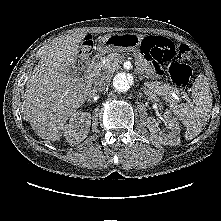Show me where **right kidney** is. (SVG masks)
<instances>
[{
  "label": "right kidney",
  "instance_id": "obj_1",
  "mask_svg": "<svg viewBox=\"0 0 221 221\" xmlns=\"http://www.w3.org/2000/svg\"><path fill=\"white\" fill-rule=\"evenodd\" d=\"M91 115L87 112L77 111L73 113L69 124L65 126L64 136L71 145L79 144L83 141L90 130Z\"/></svg>",
  "mask_w": 221,
  "mask_h": 221
}]
</instances>
